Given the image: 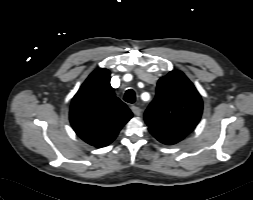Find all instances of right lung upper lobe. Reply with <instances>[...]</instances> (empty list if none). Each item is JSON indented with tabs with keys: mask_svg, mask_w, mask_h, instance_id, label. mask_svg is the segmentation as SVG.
<instances>
[{
	"mask_svg": "<svg viewBox=\"0 0 253 200\" xmlns=\"http://www.w3.org/2000/svg\"><path fill=\"white\" fill-rule=\"evenodd\" d=\"M132 112L114 93L110 72L99 68L92 72L72 99L70 123L76 134L95 147L109 145Z\"/></svg>",
	"mask_w": 253,
	"mask_h": 200,
	"instance_id": "cb5924a9",
	"label": "right lung upper lobe"
}]
</instances>
